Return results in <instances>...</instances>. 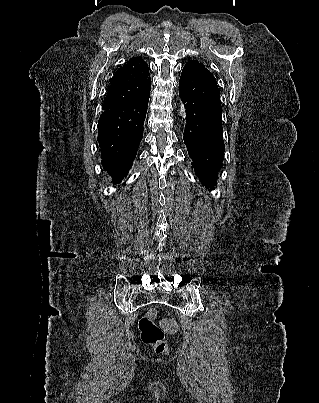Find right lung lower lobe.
I'll return each mask as SVG.
<instances>
[{
    "label": "right lung lower lobe",
    "mask_w": 319,
    "mask_h": 403,
    "mask_svg": "<svg viewBox=\"0 0 319 403\" xmlns=\"http://www.w3.org/2000/svg\"><path fill=\"white\" fill-rule=\"evenodd\" d=\"M150 92L141 98L103 110L98 121L102 165L120 182L133 164L143 137Z\"/></svg>",
    "instance_id": "obj_1"
}]
</instances>
